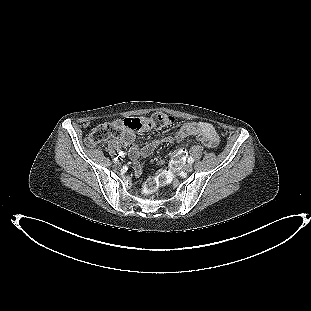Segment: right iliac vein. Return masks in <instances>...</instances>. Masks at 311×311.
Returning <instances> with one entry per match:
<instances>
[{
	"label": "right iliac vein",
	"instance_id": "1",
	"mask_svg": "<svg viewBox=\"0 0 311 311\" xmlns=\"http://www.w3.org/2000/svg\"><path fill=\"white\" fill-rule=\"evenodd\" d=\"M121 160H122V159L120 158V160H117L116 163H117V164H121Z\"/></svg>",
	"mask_w": 311,
	"mask_h": 311
}]
</instances>
